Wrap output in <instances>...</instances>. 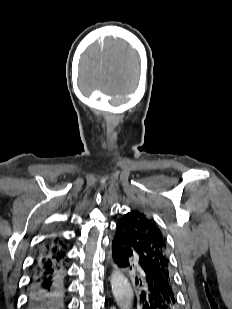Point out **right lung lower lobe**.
Wrapping results in <instances>:
<instances>
[{
	"label": "right lung lower lobe",
	"mask_w": 232,
	"mask_h": 309,
	"mask_svg": "<svg viewBox=\"0 0 232 309\" xmlns=\"http://www.w3.org/2000/svg\"><path fill=\"white\" fill-rule=\"evenodd\" d=\"M65 256H38L30 281L29 309H64Z\"/></svg>",
	"instance_id": "right-lung-lower-lobe-1"
}]
</instances>
